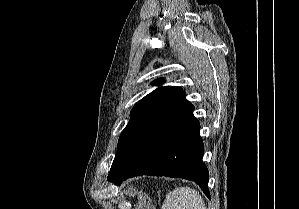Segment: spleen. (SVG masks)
<instances>
[{
    "mask_svg": "<svg viewBox=\"0 0 299 209\" xmlns=\"http://www.w3.org/2000/svg\"><path fill=\"white\" fill-rule=\"evenodd\" d=\"M162 209H206V206L197 190L178 187L167 193Z\"/></svg>",
    "mask_w": 299,
    "mask_h": 209,
    "instance_id": "obj_1",
    "label": "spleen"
}]
</instances>
